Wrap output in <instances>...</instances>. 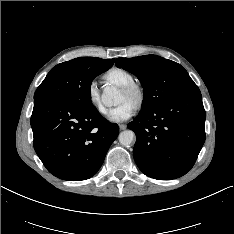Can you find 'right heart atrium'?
I'll use <instances>...</instances> for the list:
<instances>
[{"instance_id":"right-heart-atrium-1","label":"right heart atrium","mask_w":234,"mask_h":234,"mask_svg":"<svg viewBox=\"0 0 234 234\" xmlns=\"http://www.w3.org/2000/svg\"><path fill=\"white\" fill-rule=\"evenodd\" d=\"M87 97L89 103L97 110L98 113L104 115L107 113V109L103 105L100 97V93L95 82H91L87 88Z\"/></svg>"}]
</instances>
